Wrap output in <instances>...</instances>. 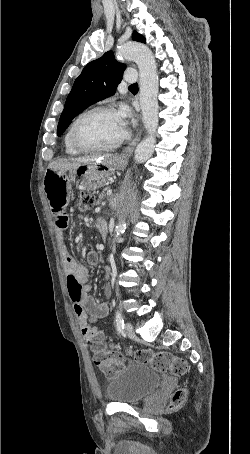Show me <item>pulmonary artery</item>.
I'll list each match as a JSON object with an SVG mask.
<instances>
[{
    "label": "pulmonary artery",
    "instance_id": "pulmonary-artery-1",
    "mask_svg": "<svg viewBox=\"0 0 250 454\" xmlns=\"http://www.w3.org/2000/svg\"><path fill=\"white\" fill-rule=\"evenodd\" d=\"M137 79H138V74H137L134 70L128 69V70L125 72L124 80H125L126 82L133 83V82H136Z\"/></svg>",
    "mask_w": 250,
    "mask_h": 454
}]
</instances>
